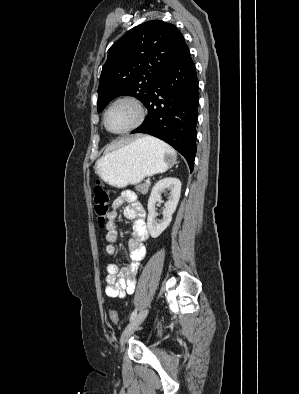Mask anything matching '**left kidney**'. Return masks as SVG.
<instances>
[{
  "mask_svg": "<svg viewBox=\"0 0 299 394\" xmlns=\"http://www.w3.org/2000/svg\"><path fill=\"white\" fill-rule=\"evenodd\" d=\"M170 190V196L165 203L163 210V219L159 222L156 220L155 204L161 201V193ZM181 194V181L177 178L168 177L158 181L152 188L148 200V218L147 227L152 238H157L169 226L172 220V214L175 212Z\"/></svg>",
  "mask_w": 299,
  "mask_h": 394,
  "instance_id": "1",
  "label": "left kidney"
}]
</instances>
